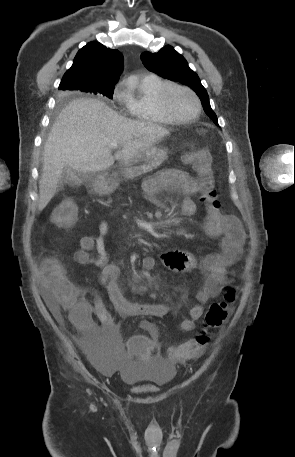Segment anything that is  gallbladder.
I'll return each instance as SVG.
<instances>
[{"instance_id": "1", "label": "gallbladder", "mask_w": 295, "mask_h": 457, "mask_svg": "<svg viewBox=\"0 0 295 457\" xmlns=\"http://www.w3.org/2000/svg\"><path fill=\"white\" fill-rule=\"evenodd\" d=\"M78 180H82V178H78L76 173L69 167H64L61 174H60V181L66 183L68 185H76L78 184Z\"/></svg>"}]
</instances>
